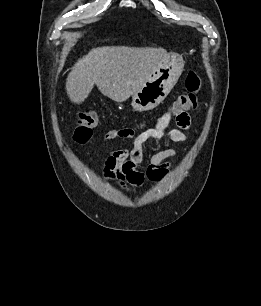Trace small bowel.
Wrapping results in <instances>:
<instances>
[{
	"label": "small bowel",
	"mask_w": 261,
	"mask_h": 306,
	"mask_svg": "<svg viewBox=\"0 0 261 306\" xmlns=\"http://www.w3.org/2000/svg\"><path fill=\"white\" fill-rule=\"evenodd\" d=\"M172 115L169 112L164 113L155 126L139 134L133 147L127 149L113 150L105 161V176L116 181L122 188L138 187L142 184L145 177L154 182L165 180L171 173V166L166 162L167 159L177 155L175 148H166L153 154L145 170H140L139 166L143 162V145L150 139L161 140L168 139L172 142H185L187 140L185 131L190 125V119L187 113L176 116V128H169ZM131 135L128 129H114L106 134L107 140L125 139Z\"/></svg>",
	"instance_id": "small-bowel-1"
}]
</instances>
